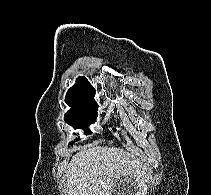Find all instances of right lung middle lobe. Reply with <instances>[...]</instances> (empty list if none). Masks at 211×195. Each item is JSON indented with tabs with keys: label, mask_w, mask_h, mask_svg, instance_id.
I'll return each instance as SVG.
<instances>
[{
	"label": "right lung middle lobe",
	"mask_w": 211,
	"mask_h": 195,
	"mask_svg": "<svg viewBox=\"0 0 211 195\" xmlns=\"http://www.w3.org/2000/svg\"><path fill=\"white\" fill-rule=\"evenodd\" d=\"M67 103V102H66ZM71 109L65 114V122L75 129L82 128L85 131V134H91V131L86 128L91 123L96 120L98 115V105L97 103L91 104H74L67 103ZM74 142H71L72 144Z\"/></svg>",
	"instance_id": "right-lung-middle-lobe-1"
}]
</instances>
